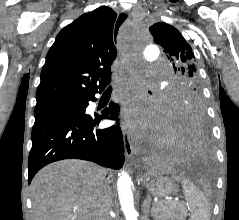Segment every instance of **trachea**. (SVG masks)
I'll return each instance as SVG.
<instances>
[{
  "label": "trachea",
  "instance_id": "trachea-1",
  "mask_svg": "<svg viewBox=\"0 0 239 220\" xmlns=\"http://www.w3.org/2000/svg\"><path fill=\"white\" fill-rule=\"evenodd\" d=\"M107 90H111V86H109Z\"/></svg>",
  "mask_w": 239,
  "mask_h": 220
}]
</instances>
